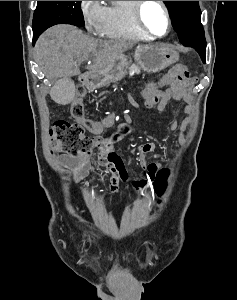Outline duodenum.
<instances>
[{
	"label": "duodenum",
	"mask_w": 237,
	"mask_h": 300,
	"mask_svg": "<svg viewBox=\"0 0 237 300\" xmlns=\"http://www.w3.org/2000/svg\"><path fill=\"white\" fill-rule=\"evenodd\" d=\"M100 73L97 70H88L81 76L82 84L90 91H93L100 85Z\"/></svg>",
	"instance_id": "410a0bca"
}]
</instances>
